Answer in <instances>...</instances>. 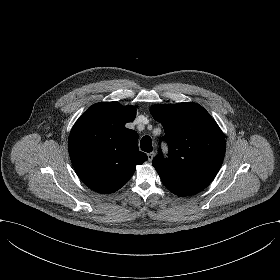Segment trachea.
Segmentation results:
<instances>
[{
  "label": "trachea",
  "instance_id": "3493384b",
  "mask_svg": "<svg viewBox=\"0 0 280 280\" xmlns=\"http://www.w3.org/2000/svg\"><path fill=\"white\" fill-rule=\"evenodd\" d=\"M141 150L144 152H151L152 151V140L149 136H145L141 139Z\"/></svg>",
  "mask_w": 280,
  "mask_h": 280
}]
</instances>
